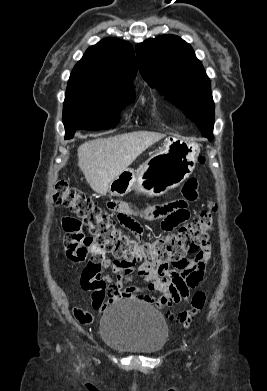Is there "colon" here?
<instances>
[{
	"instance_id": "colon-1",
	"label": "colon",
	"mask_w": 267,
	"mask_h": 391,
	"mask_svg": "<svg viewBox=\"0 0 267 391\" xmlns=\"http://www.w3.org/2000/svg\"><path fill=\"white\" fill-rule=\"evenodd\" d=\"M199 162L205 163L200 156ZM53 201L75 214L80 223L89 230L80 241L83 253L111 254L113 259L125 266H143L157 271L165 265H179L190 253H197L208 244L209 232L213 229V214L216 207L209 205L194 220L182 225L176 233L165 234L150 240L133 238L117 229L115 223L84 193L69 186L67 182L56 184ZM205 293L198 291L191 301V308L171 315L180 323L189 324L205 304Z\"/></svg>"
}]
</instances>
